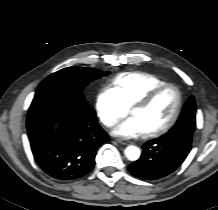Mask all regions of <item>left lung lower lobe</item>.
<instances>
[{
    "instance_id": "obj_1",
    "label": "left lung lower lobe",
    "mask_w": 218,
    "mask_h": 210,
    "mask_svg": "<svg viewBox=\"0 0 218 210\" xmlns=\"http://www.w3.org/2000/svg\"><path fill=\"white\" fill-rule=\"evenodd\" d=\"M192 137L187 131L176 138L161 136L143 145L139 160L128 167L135 177L145 180L163 178L175 171L190 152Z\"/></svg>"
}]
</instances>
